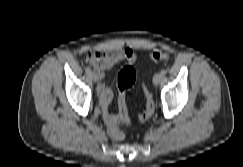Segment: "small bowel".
<instances>
[{
    "instance_id": "obj_1",
    "label": "small bowel",
    "mask_w": 243,
    "mask_h": 167,
    "mask_svg": "<svg viewBox=\"0 0 243 167\" xmlns=\"http://www.w3.org/2000/svg\"><path fill=\"white\" fill-rule=\"evenodd\" d=\"M122 60H126L128 63L133 64L136 61V53L130 48H125L117 49L113 52L95 51L86 57V62L94 68L100 79L97 86V93L100 99L102 116L107 126L118 121L120 113V94L118 95L119 112L117 114H113L109 109L113 97V91L104 83V73L106 69L112 68L115 64Z\"/></svg>"
}]
</instances>
